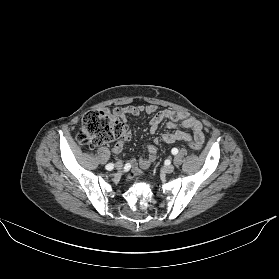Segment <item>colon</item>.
<instances>
[{
	"mask_svg": "<svg viewBox=\"0 0 279 279\" xmlns=\"http://www.w3.org/2000/svg\"><path fill=\"white\" fill-rule=\"evenodd\" d=\"M125 132V125L116 111L106 109L91 110L82 117L77 140L84 145L98 146L121 137ZM193 150L199 151L202 145L186 142Z\"/></svg>",
	"mask_w": 279,
	"mask_h": 279,
	"instance_id": "colon-1",
	"label": "colon"
}]
</instances>
